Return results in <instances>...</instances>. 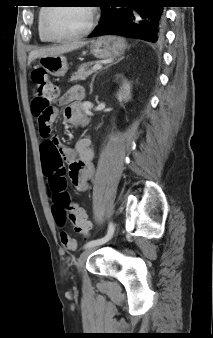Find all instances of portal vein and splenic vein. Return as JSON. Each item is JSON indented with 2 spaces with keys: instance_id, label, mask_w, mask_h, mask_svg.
Returning <instances> with one entry per match:
<instances>
[{
  "instance_id": "obj_1",
  "label": "portal vein and splenic vein",
  "mask_w": 213,
  "mask_h": 338,
  "mask_svg": "<svg viewBox=\"0 0 213 338\" xmlns=\"http://www.w3.org/2000/svg\"><path fill=\"white\" fill-rule=\"evenodd\" d=\"M101 68H102V65L96 64L92 67V70H98V69H101Z\"/></svg>"
}]
</instances>
